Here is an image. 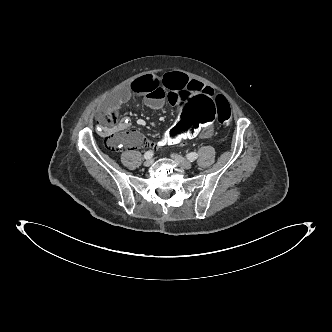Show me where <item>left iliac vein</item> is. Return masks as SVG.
Instances as JSON below:
<instances>
[{"label": "left iliac vein", "mask_w": 332, "mask_h": 332, "mask_svg": "<svg viewBox=\"0 0 332 332\" xmlns=\"http://www.w3.org/2000/svg\"><path fill=\"white\" fill-rule=\"evenodd\" d=\"M172 159L183 169L190 170L192 168V164L180 156L179 154H171Z\"/></svg>", "instance_id": "obj_1"}]
</instances>
